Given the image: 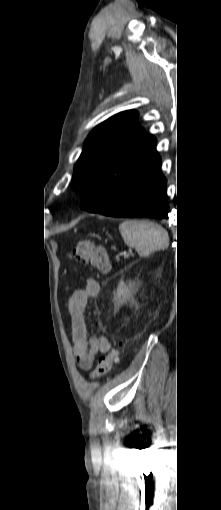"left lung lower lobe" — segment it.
<instances>
[{"mask_svg": "<svg viewBox=\"0 0 221 510\" xmlns=\"http://www.w3.org/2000/svg\"><path fill=\"white\" fill-rule=\"evenodd\" d=\"M160 165L161 160L157 156L106 207L92 209L81 203V208L111 217L168 218L167 181Z\"/></svg>", "mask_w": 221, "mask_h": 510, "instance_id": "0a47b994", "label": "left lung lower lobe"}]
</instances>
